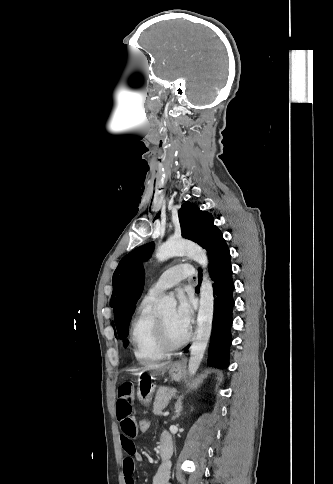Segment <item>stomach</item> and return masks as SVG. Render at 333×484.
<instances>
[{
  "instance_id": "1",
  "label": "stomach",
  "mask_w": 333,
  "mask_h": 484,
  "mask_svg": "<svg viewBox=\"0 0 333 484\" xmlns=\"http://www.w3.org/2000/svg\"><path fill=\"white\" fill-rule=\"evenodd\" d=\"M183 370H184L183 364L176 362L171 364L167 371L173 380L179 381L182 378ZM154 392H155V386L151 380L149 379L138 380L137 397L139 401H141V403L147 405L152 399Z\"/></svg>"
}]
</instances>
